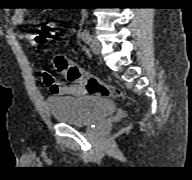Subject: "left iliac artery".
I'll return each mask as SVG.
<instances>
[{
    "mask_svg": "<svg viewBox=\"0 0 192 180\" xmlns=\"http://www.w3.org/2000/svg\"><path fill=\"white\" fill-rule=\"evenodd\" d=\"M81 36H82V39H83V41H84L85 43H88V42H89L90 32L88 31V29H84V30L82 31Z\"/></svg>",
    "mask_w": 192,
    "mask_h": 180,
    "instance_id": "1",
    "label": "left iliac artery"
}]
</instances>
